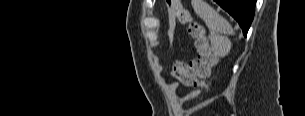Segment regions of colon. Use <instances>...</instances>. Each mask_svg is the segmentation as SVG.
Segmentation results:
<instances>
[{
    "mask_svg": "<svg viewBox=\"0 0 305 116\" xmlns=\"http://www.w3.org/2000/svg\"><path fill=\"white\" fill-rule=\"evenodd\" d=\"M168 10L183 24L188 25L190 35L195 40L197 56L190 62H177L173 76L186 86L208 91V78L216 63V56L204 34L202 26L193 20L190 11L179 0H166Z\"/></svg>",
    "mask_w": 305,
    "mask_h": 116,
    "instance_id": "1",
    "label": "colon"
}]
</instances>
